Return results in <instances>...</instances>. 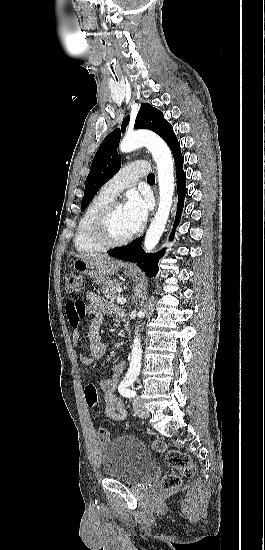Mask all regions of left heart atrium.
Instances as JSON below:
<instances>
[{
  "mask_svg": "<svg viewBox=\"0 0 265 550\" xmlns=\"http://www.w3.org/2000/svg\"><path fill=\"white\" fill-rule=\"evenodd\" d=\"M124 210L132 233L136 232L143 226L147 219L149 200L146 197H141L137 193H131L128 195Z\"/></svg>",
  "mask_w": 265,
  "mask_h": 550,
  "instance_id": "left-heart-atrium-1",
  "label": "left heart atrium"
}]
</instances>
